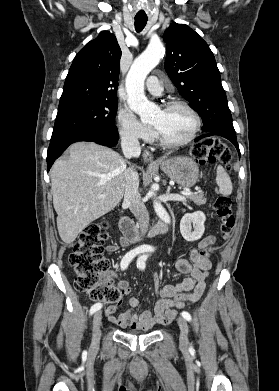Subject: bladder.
<instances>
[{"instance_id":"1","label":"bladder","mask_w":279,"mask_h":391,"mask_svg":"<svg viewBox=\"0 0 279 391\" xmlns=\"http://www.w3.org/2000/svg\"><path fill=\"white\" fill-rule=\"evenodd\" d=\"M125 333L128 334V335H136V333L133 332V331H127V332H125Z\"/></svg>"}]
</instances>
